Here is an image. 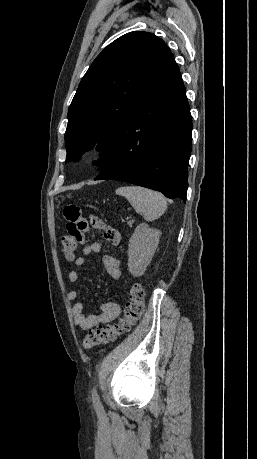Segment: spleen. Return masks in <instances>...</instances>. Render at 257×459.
I'll return each instance as SVG.
<instances>
[{
	"label": "spleen",
	"mask_w": 257,
	"mask_h": 459,
	"mask_svg": "<svg viewBox=\"0 0 257 459\" xmlns=\"http://www.w3.org/2000/svg\"><path fill=\"white\" fill-rule=\"evenodd\" d=\"M116 194L124 196L137 213L143 214L146 221L159 218L167 209L163 194L147 188L123 186L116 190Z\"/></svg>",
	"instance_id": "1"
}]
</instances>
